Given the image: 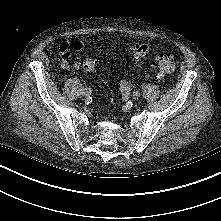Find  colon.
I'll list each match as a JSON object with an SVG mask.
<instances>
[{"mask_svg":"<svg viewBox=\"0 0 221 221\" xmlns=\"http://www.w3.org/2000/svg\"><path fill=\"white\" fill-rule=\"evenodd\" d=\"M133 57L137 59H151L153 66L156 68V77L159 79L170 75L176 67V61L168 54L152 51L147 44L138 43L131 48ZM96 63L92 59H86L82 63V69L87 73H93Z\"/></svg>","mask_w":221,"mask_h":221,"instance_id":"colon-1","label":"colon"}]
</instances>
